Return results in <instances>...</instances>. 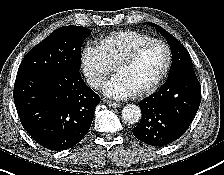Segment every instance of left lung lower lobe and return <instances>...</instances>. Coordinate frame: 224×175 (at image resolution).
I'll return each instance as SVG.
<instances>
[{"mask_svg":"<svg viewBox=\"0 0 224 175\" xmlns=\"http://www.w3.org/2000/svg\"><path fill=\"white\" fill-rule=\"evenodd\" d=\"M200 102L201 87L194 70H179L168 76L158 92L138 103L142 119L133 134L152 146L172 143L188 129Z\"/></svg>","mask_w":224,"mask_h":175,"instance_id":"obj_1","label":"left lung lower lobe"}]
</instances>
